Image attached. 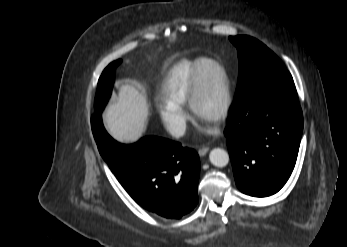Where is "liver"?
<instances>
[{"label":"liver","mask_w":347,"mask_h":247,"mask_svg":"<svg viewBox=\"0 0 347 247\" xmlns=\"http://www.w3.org/2000/svg\"><path fill=\"white\" fill-rule=\"evenodd\" d=\"M149 115L146 92L140 86H120L118 97L105 114L104 123L110 136L120 143H135L145 133Z\"/></svg>","instance_id":"6515ba94"}]
</instances>
